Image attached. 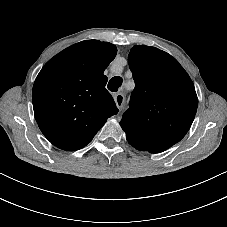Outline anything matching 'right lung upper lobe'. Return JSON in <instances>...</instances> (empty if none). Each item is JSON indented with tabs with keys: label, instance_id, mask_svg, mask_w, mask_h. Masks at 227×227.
Wrapping results in <instances>:
<instances>
[{
	"label": "right lung upper lobe",
	"instance_id": "cb5924a9",
	"mask_svg": "<svg viewBox=\"0 0 227 227\" xmlns=\"http://www.w3.org/2000/svg\"><path fill=\"white\" fill-rule=\"evenodd\" d=\"M116 53L111 43L86 40L58 53L39 72L32 91L34 114L56 147L83 148L118 113L103 74Z\"/></svg>",
	"mask_w": 227,
	"mask_h": 227
}]
</instances>
